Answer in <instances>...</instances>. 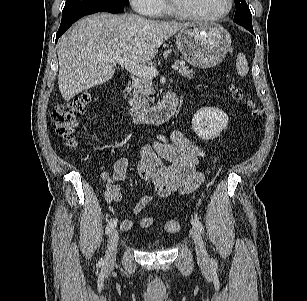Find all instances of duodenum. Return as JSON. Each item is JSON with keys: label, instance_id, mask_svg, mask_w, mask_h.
Returning <instances> with one entry per match:
<instances>
[{"label": "duodenum", "instance_id": "1", "mask_svg": "<svg viewBox=\"0 0 307 301\" xmlns=\"http://www.w3.org/2000/svg\"><path fill=\"white\" fill-rule=\"evenodd\" d=\"M126 109L139 124L159 125L168 121L175 113L178 106V93L168 92L162 101L153 107H145L125 97Z\"/></svg>", "mask_w": 307, "mask_h": 301}]
</instances>
